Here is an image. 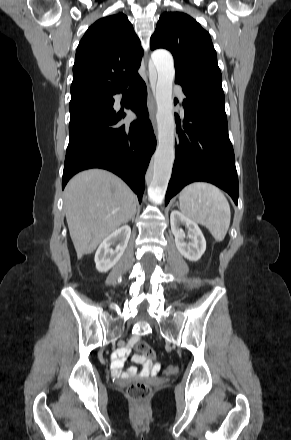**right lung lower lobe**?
Masks as SVG:
<instances>
[{
	"instance_id": "obj_1",
	"label": "right lung lower lobe",
	"mask_w": 291,
	"mask_h": 440,
	"mask_svg": "<svg viewBox=\"0 0 291 440\" xmlns=\"http://www.w3.org/2000/svg\"><path fill=\"white\" fill-rule=\"evenodd\" d=\"M117 93L123 94L126 107L137 114L130 125L118 124L125 114L113 110V95ZM146 100V85L139 75L111 93L71 99L62 189L79 171L103 168L121 177L142 201L145 172L156 147Z\"/></svg>"
}]
</instances>
